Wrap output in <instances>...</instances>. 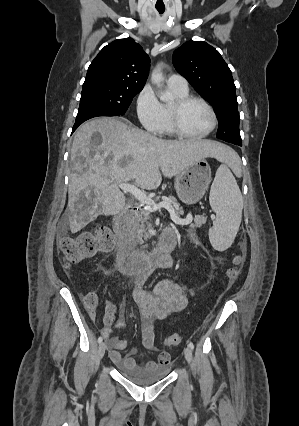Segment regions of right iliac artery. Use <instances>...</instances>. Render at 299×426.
Returning a JSON list of instances; mask_svg holds the SVG:
<instances>
[{
    "label": "right iliac artery",
    "instance_id": "1",
    "mask_svg": "<svg viewBox=\"0 0 299 426\" xmlns=\"http://www.w3.org/2000/svg\"><path fill=\"white\" fill-rule=\"evenodd\" d=\"M102 341H103V338L100 336V337L98 338V343L100 344Z\"/></svg>",
    "mask_w": 299,
    "mask_h": 426
}]
</instances>
